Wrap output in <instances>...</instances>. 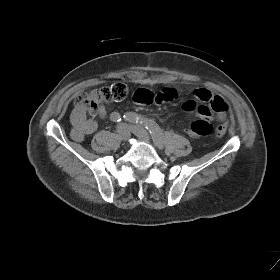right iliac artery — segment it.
<instances>
[{
    "mask_svg": "<svg viewBox=\"0 0 280 280\" xmlns=\"http://www.w3.org/2000/svg\"><path fill=\"white\" fill-rule=\"evenodd\" d=\"M110 119L114 122H119L121 121V116L119 115V113L117 112H113L111 115H110Z\"/></svg>",
    "mask_w": 280,
    "mask_h": 280,
    "instance_id": "obj_1",
    "label": "right iliac artery"
}]
</instances>
